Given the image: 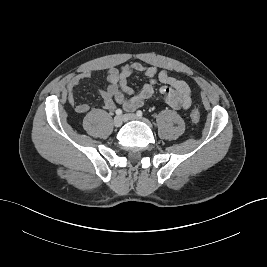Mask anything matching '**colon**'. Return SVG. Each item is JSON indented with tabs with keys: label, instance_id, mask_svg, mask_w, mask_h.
<instances>
[{
	"label": "colon",
	"instance_id": "obj_1",
	"mask_svg": "<svg viewBox=\"0 0 267 267\" xmlns=\"http://www.w3.org/2000/svg\"><path fill=\"white\" fill-rule=\"evenodd\" d=\"M190 118L193 123H198L200 121V113L198 112V110L193 109L190 113Z\"/></svg>",
	"mask_w": 267,
	"mask_h": 267
}]
</instances>
